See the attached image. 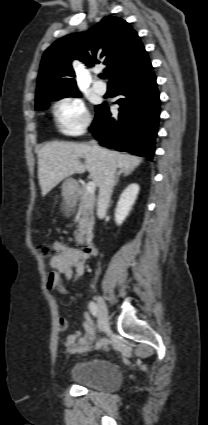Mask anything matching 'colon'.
<instances>
[{"label": "colon", "mask_w": 208, "mask_h": 425, "mask_svg": "<svg viewBox=\"0 0 208 425\" xmlns=\"http://www.w3.org/2000/svg\"><path fill=\"white\" fill-rule=\"evenodd\" d=\"M39 251L41 255L44 257H52L55 254V251L53 250V248L47 244L39 245Z\"/></svg>", "instance_id": "1"}]
</instances>
